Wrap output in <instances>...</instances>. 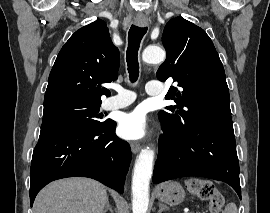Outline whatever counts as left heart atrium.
I'll return each mask as SVG.
<instances>
[{
  "instance_id": "1",
  "label": "left heart atrium",
  "mask_w": 270,
  "mask_h": 213,
  "mask_svg": "<svg viewBox=\"0 0 270 213\" xmlns=\"http://www.w3.org/2000/svg\"><path fill=\"white\" fill-rule=\"evenodd\" d=\"M121 137L127 140H140L147 134V123L144 112L136 109L121 116L118 125Z\"/></svg>"
}]
</instances>
